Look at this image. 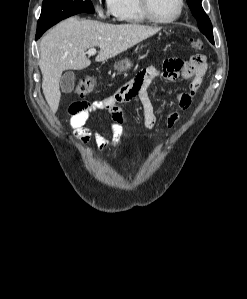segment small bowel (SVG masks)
Returning <instances> with one entry per match:
<instances>
[{"label": "small bowel", "mask_w": 247, "mask_h": 299, "mask_svg": "<svg viewBox=\"0 0 247 299\" xmlns=\"http://www.w3.org/2000/svg\"><path fill=\"white\" fill-rule=\"evenodd\" d=\"M206 71V60L202 55L193 56L188 61L181 59H169L160 71L155 67H149L137 74L132 80L121 86L112 96L102 100L79 101L70 105V127L75 137L82 143L94 140L97 147L102 151H107L118 147L122 141V123L124 120L121 104H126L138 98L143 112V122L146 128L154 129L158 124V118L153 110V105L149 96V89L154 80L161 76L167 81H174L178 77L189 80V89L177 95L176 104L186 110L198 92L203 76ZM98 110H104L110 117V129L112 138H105L99 131L87 125L90 115ZM177 110H171L167 114V125L172 128L178 121Z\"/></svg>", "instance_id": "c3829d8e"}]
</instances>
